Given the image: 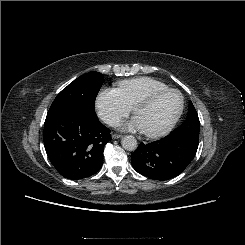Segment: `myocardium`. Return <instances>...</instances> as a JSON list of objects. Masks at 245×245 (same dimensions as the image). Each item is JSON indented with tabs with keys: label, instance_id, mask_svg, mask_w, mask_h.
Returning <instances> with one entry per match:
<instances>
[{
	"label": "myocardium",
	"instance_id": "f54148a6",
	"mask_svg": "<svg viewBox=\"0 0 245 245\" xmlns=\"http://www.w3.org/2000/svg\"><path fill=\"white\" fill-rule=\"evenodd\" d=\"M166 93H176L178 94V96L180 97V107L176 113V115L174 116V118L162 129L158 130V131H154V132H144L143 134L149 138H159L162 136L167 135L168 133H170L173 128L176 126V124L178 123V121L180 120L183 111H184V107H185V99L184 96L182 95V93L178 90V89H174V88H166L163 90H158V91H154L151 92L149 94H146L142 97H140L139 99H137L133 105L131 106V111L132 113L135 115L136 109L139 106L142 105H147L150 102H152L154 99L166 94Z\"/></svg>",
	"mask_w": 245,
	"mask_h": 245
}]
</instances>
